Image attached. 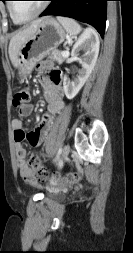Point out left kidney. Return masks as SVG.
Returning a JSON list of instances; mask_svg holds the SVG:
<instances>
[{"label":"left kidney","instance_id":"left-kidney-1","mask_svg":"<svg viewBox=\"0 0 133 253\" xmlns=\"http://www.w3.org/2000/svg\"><path fill=\"white\" fill-rule=\"evenodd\" d=\"M99 37L93 29H86L73 46L71 56L77 58L80 51H84L81 59L82 68L78 71L76 79L71 81L68 77L63 79V88L68 99H73L83 87L92 73L99 53Z\"/></svg>","mask_w":133,"mask_h":253}]
</instances>
